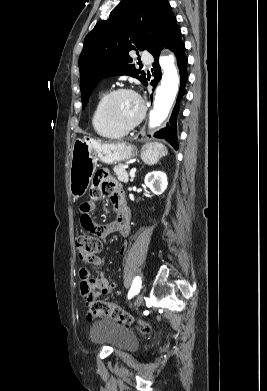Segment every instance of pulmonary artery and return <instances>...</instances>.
I'll list each match as a JSON object with an SVG mask.
<instances>
[{
  "instance_id": "pulmonary-artery-1",
  "label": "pulmonary artery",
  "mask_w": 267,
  "mask_h": 391,
  "mask_svg": "<svg viewBox=\"0 0 267 391\" xmlns=\"http://www.w3.org/2000/svg\"><path fill=\"white\" fill-rule=\"evenodd\" d=\"M142 60H143V62H145L147 64H150L152 62L153 58H152V56L150 54L144 53L142 55Z\"/></svg>"
}]
</instances>
